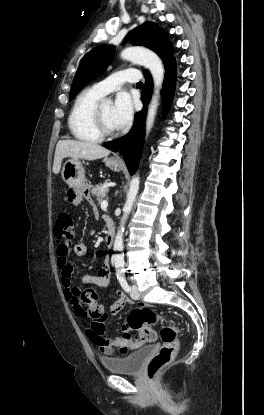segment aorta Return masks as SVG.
I'll use <instances>...</instances> for the list:
<instances>
[{
    "instance_id": "obj_1",
    "label": "aorta",
    "mask_w": 264,
    "mask_h": 415,
    "mask_svg": "<svg viewBox=\"0 0 264 415\" xmlns=\"http://www.w3.org/2000/svg\"><path fill=\"white\" fill-rule=\"evenodd\" d=\"M121 57L125 60L132 61L147 67L153 77L155 91L148 108V115L146 120V133L148 134L154 123L158 105L159 91L162 87L164 79V67L162 61L153 51L143 47H128L121 52ZM102 102L105 105L111 104L110 99H104ZM139 183V176L135 175L130 182L127 199L123 207L124 213L121 219L120 228L114 240V251L116 254L113 255V260L116 268L124 267V254L122 253L124 224L129 213L132 210L133 203L138 194Z\"/></svg>"
}]
</instances>
